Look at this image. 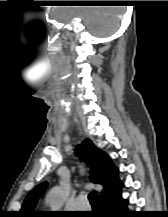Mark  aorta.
Segmentation results:
<instances>
[{
    "mask_svg": "<svg viewBox=\"0 0 168 217\" xmlns=\"http://www.w3.org/2000/svg\"><path fill=\"white\" fill-rule=\"evenodd\" d=\"M66 193L60 186H55L50 190L46 197V202L53 211H58L63 206Z\"/></svg>",
    "mask_w": 168,
    "mask_h": 217,
    "instance_id": "762f6f07",
    "label": "aorta"
}]
</instances>
